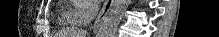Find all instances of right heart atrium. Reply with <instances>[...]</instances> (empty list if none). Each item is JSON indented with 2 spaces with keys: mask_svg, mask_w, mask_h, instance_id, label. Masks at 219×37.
<instances>
[{
  "mask_svg": "<svg viewBox=\"0 0 219 37\" xmlns=\"http://www.w3.org/2000/svg\"><path fill=\"white\" fill-rule=\"evenodd\" d=\"M74 19L80 23H87L93 19L96 14L97 4L92 0H75L74 2Z\"/></svg>",
  "mask_w": 219,
  "mask_h": 37,
  "instance_id": "right-heart-atrium-1",
  "label": "right heart atrium"
}]
</instances>
